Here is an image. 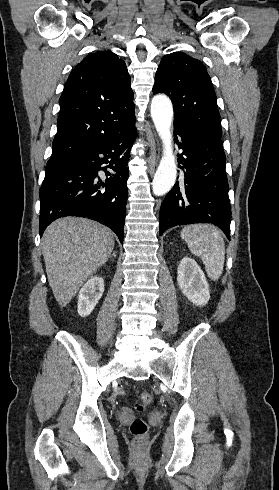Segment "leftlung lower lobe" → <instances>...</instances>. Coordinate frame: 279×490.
I'll return each instance as SVG.
<instances>
[{"mask_svg": "<svg viewBox=\"0 0 279 490\" xmlns=\"http://www.w3.org/2000/svg\"><path fill=\"white\" fill-rule=\"evenodd\" d=\"M174 129V139L183 150L178 158L183 166H178L184 180L176 183L161 205L160 235L177 225L211 223L230 240L231 206L221 138L179 122H174Z\"/></svg>", "mask_w": 279, "mask_h": 490, "instance_id": "left-lung-lower-lobe-1", "label": "left lung lower lobe"}]
</instances>
